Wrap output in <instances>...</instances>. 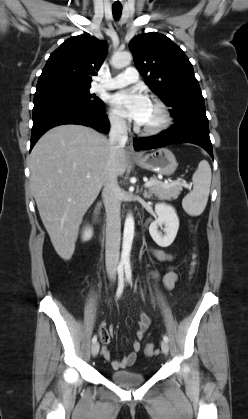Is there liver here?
<instances>
[{
  "mask_svg": "<svg viewBox=\"0 0 248 419\" xmlns=\"http://www.w3.org/2000/svg\"><path fill=\"white\" fill-rule=\"evenodd\" d=\"M109 154L106 136L74 124L50 129L30 154L31 191L52 245L64 260L71 259L83 215L104 185ZM126 167L123 148L116 155L117 176Z\"/></svg>",
  "mask_w": 248,
  "mask_h": 419,
  "instance_id": "1",
  "label": "liver"
}]
</instances>
